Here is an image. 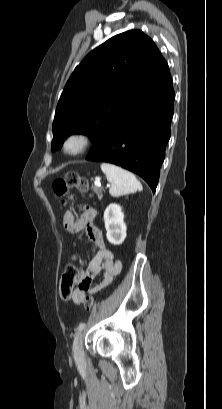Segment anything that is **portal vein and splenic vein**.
Segmentation results:
<instances>
[{
  "instance_id": "obj_1",
  "label": "portal vein and splenic vein",
  "mask_w": 222,
  "mask_h": 409,
  "mask_svg": "<svg viewBox=\"0 0 222 409\" xmlns=\"http://www.w3.org/2000/svg\"><path fill=\"white\" fill-rule=\"evenodd\" d=\"M94 184L96 185V186H98V187H100L101 186V182H100V180L99 179H96L95 180V182H94ZM111 186V184H107V187H110Z\"/></svg>"
}]
</instances>
